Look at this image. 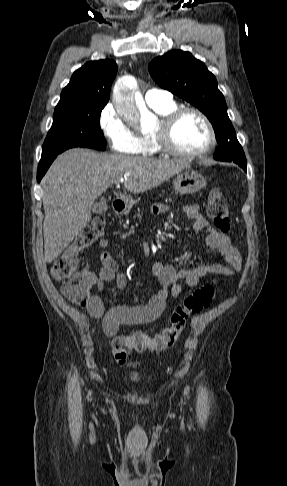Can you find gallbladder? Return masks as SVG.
Returning <instances> with one entry per match:
<instances>
[{
	"label": "gallbladder",
	"instance_id": "1",
	"mask_svg": "<svg viewBox=\"0 0 287 486\" xmlns=\"http://www.w3.org/2000/svg\"><path fill=\"white\" fill-rule=\"evenodd\" d=\"M107 208H108V206H107L106 202L99 201V202L94 204L92 211L95 214H103V213L106 212Z\"/></svg>",
	"mask_w": 287,
	"mask_h": 486
}]
</instances>
